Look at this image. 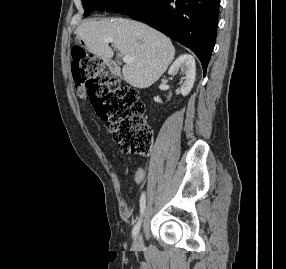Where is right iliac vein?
<instances>
[{"mask_svg": "<svg viewBox=\"0 0 286 269\" xmlns=\"http://www.w3.org/2000/svg\"><path fill=\"white\" fill-rule=\"evenodd\" d=\"M133 247L135 249H140L142 247V238L141 235H137L135 240H134V244Z\"/></svg>", "mask_w": 286, "mask_h": 269, "instance_id": "1", "label": "right iliac vein"}]
</instances>
